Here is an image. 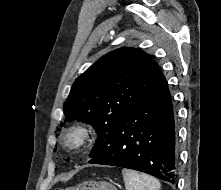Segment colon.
Here are the masks:
<instances>
[{
	"mask_svg": "<svg viewBox=\"0 0 221 190\" xmlns=\"http://www.w3.org/2000/svg\"><path fill=\"white\" fill-rule=\"evenodd\" d=\"M58 190H116V188L113 184L105 180H90Z\"/></svg>",
	"mask_w": 221,
	"mask_h": 190,
	"instance_id": "5ec220e1",
	"label": "colon"
}]
</instances>
